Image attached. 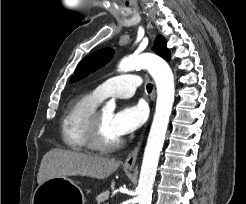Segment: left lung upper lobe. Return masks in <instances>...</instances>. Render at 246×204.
<instances>
[{
  "label": "left lung upper lobe",
  "mask_w": 246,
  "mask_h": 204,
  "mask_svg": "<svg viewBox=\"0 0 246 204\" xmlns=\"http://www.w3.org/2000/svg\"><path fill=\"white\" fill-rule=\"evenodd\" d=\"M154 51L164 58L170 60L171 54L169 49L166 47V40L164 37L158 35L155 40ZM114 55V50L111 48H104L90 54L84 58L77 66L74 75L70 79V83L76 82L91 72H94L101 66L105 65Z\"/></svg>",
  "instance_id": "left-lung-upper-lobe-1"
}]
</instances>
